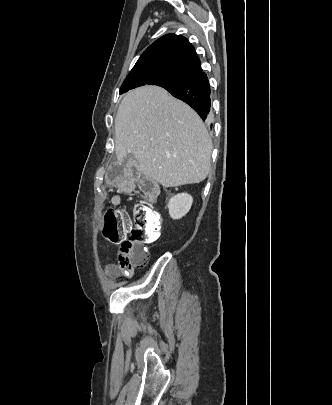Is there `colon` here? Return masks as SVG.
I'll use <instances>...</instances> for the list:
<instances>
[{
    "label": "colon",
    "mask_w": 332,
    "mask_h": 405,
    "mask_svg": "<svg viewBox=\"0 0 332 405\" xmlns=\"http://www.w3.org/2000/svg\"><path fill=\"white\" fill-rule=\"evenodd\" d=\"M141 189L149 197L158 192L156 184L145 177L141 179ZM160 231V215L144 203H135L130 213L116 207L104 214L103 236L109 242L120 244L118 263L124 271L146 263L148 255L144 244L156 241Z\"/></svg>",
    "instance_id": "obj_1"
}]
</instances>
